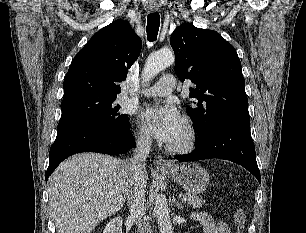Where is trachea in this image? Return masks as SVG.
<instances>
[{
  "label": "trachea",
  "mask_w": 306,
  "mask_h": 233,
  "mask_svg": "<svg viewBox=\"0 0 306 233\" xmlns=\"http://www.w3.org/2000/svg\"><path fill=\"white\" fill-rule=\"evenodd\" d=\"M159 25H160L159 13L157 12L150 13L147 16V27H146L147 38L150 42L155 41L157 39Z\"/></svg>",
  "instance_id": "3493384b"
}]
</instances>
